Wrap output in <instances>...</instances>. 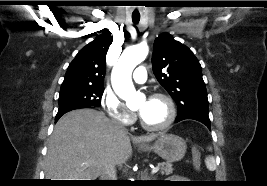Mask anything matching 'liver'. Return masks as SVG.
Instances as JSON below:
<instances>
[{
  "label": "liver",
  "instance_id": "6515ba94",
  "mask_svg": "<svg viewBox=\"0 0 267 186\" xmlns=\"http://www.w3.org/2000/svg\"><path fill=\"white\" fill-rule=\"evenodd\" d=\"M157 134L132 137L150 142ZM132 152L128 132L103 112L78 109L64 115L56 124L48 143L45 177L49 180H95L109 164L122 165Z\"/></svg>",
  "mask_w": 267,
  "mask_h": 186
}]
</instances>
